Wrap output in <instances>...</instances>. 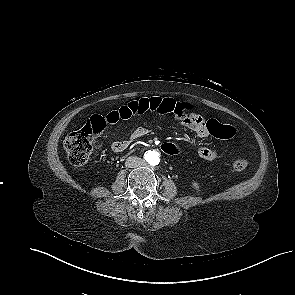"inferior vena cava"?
I'll return each mask as SVG.
<instances>
[{
    "label": "inferior vena cava",
    "mask_w": 295,
    "mask_h": 295,
    "mask_svg": "<svg viewBox=\"0 0 295 295\" xmlns=\"http://www.w3.org/2000/svg\"><path fill=\"white\" fill-rule=\"evenodd\" d=\"M142 163V159L137 157V156H131L129 158H127L126 162H125V166L128 168H136L138 166H140Z\"/></svg>",
    "instance_id": "obj_1"
}]
</instances>
